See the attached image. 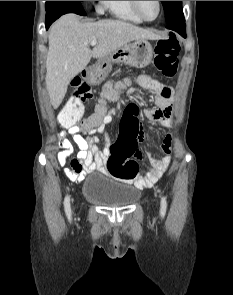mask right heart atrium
<instances>
[{
	"label": "right heart atrium",
	"mask_w": 233,
	"mask_h": 295,
	"mask_svg": "<svg viewBox=\"0 0 233 295\" xmlns=\"http://www.w3.org/2000/svg\"><path fill=\"white\" fill-rule=\"evenodd\" d=\"M97 12L102 13L106 8V1H94Z\"/></svg>",
	"instance_id": "right-heart-atrium-1"
}]
</instances>
